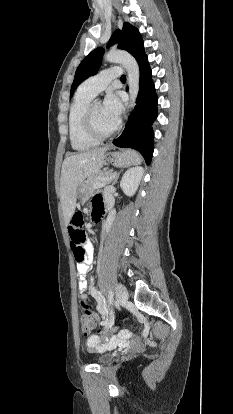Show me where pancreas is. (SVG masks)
Segmentation results:
<instances>
[{"instance_id": "1", "label": "pancreas", "mask_w": 233, "mask_h": 414, "mask_svg": "<svg viewBox=\"0 0 233 414\" xmlns=\"http://www.w3.org/2000/svg\"><path fill=\"white\" fill-rule=\"evenodd\" d=\"M112 174V170L98 171L96 173L91 174L86 180L88 193L91 195L96 190L94 188V184L105 183L106 181L104 179L110 178Z\"/></svg>"}]
</instances>
